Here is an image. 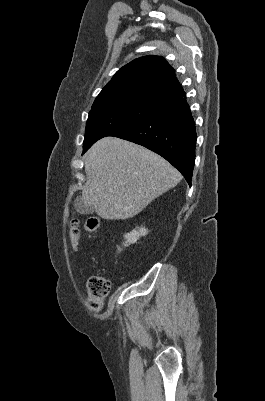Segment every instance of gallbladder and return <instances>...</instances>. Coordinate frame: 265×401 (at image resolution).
Listing matches in <instances>:
<instances>
[{"instance_id":"obj_1","label":"gallbladder","mask_w":265,"mask_h":401,"mask_svg":"<svg viewBox=\"0 0 265 401\" xmlns=\"http://www.w3.org/2000/svg\"><path fill=\"white\" fill-rule=\"evenodd\" d=\"M74 209L77 211V213H80V215H92L94 213V207H86L83 203V198L82 196H76L75 201H74Z\"/></svg>"}]
</instances>
